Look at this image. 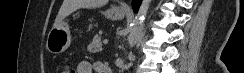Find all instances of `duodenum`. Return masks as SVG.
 I'll list each match as a JSON object with an SVG mask.
<instances>
[{
	"label": "duodenum",
	"mask_w": 244,
	"mask_h": 73,
	"mask_svg": "<svg viewBox=\"0 0 244 73\" xmlns=\"http://www.w3.org/2000/svg\"><path fill=\"white\" fill-rule=\"evenodd\" d=\"M107 66V65H106ZM107 71L108 73H111V70L109 69V67L107 66V69L105 70Z\"/></svg>",
	"instance_id": "duodenum-1"
}]
</instances>
